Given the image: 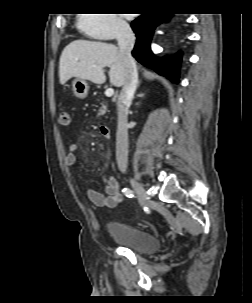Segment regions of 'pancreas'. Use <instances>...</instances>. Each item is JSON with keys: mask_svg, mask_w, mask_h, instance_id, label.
<instances>
[{"mask_svg": "<svg viewBox=\"0 0 252 303\" xmlns=\"http://www.w3.org/2000/svg\"><path fill=\"white\" fill-rule=\"evenodd\" d=\"M107 112V102L102 100L101 107L99 108L98 116H102Z\"/></svg>", "mask_w": 252, "mask_h": 303, "instance_id": "pancreas-1", "label": "pancreas"}]
</instances>
